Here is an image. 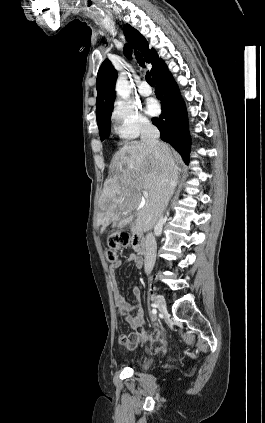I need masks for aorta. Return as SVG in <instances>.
I'll return each mask as SVG.
<instances>
[{
    "label": "aorta",
    "mask_w": 265,
    "mask_h": 423,
    "mask_svg": "<svg viewBox=\"0 0 265 423\" xmlns=\"http://www.w3.org/2000/svg\"><path fill=\"white\" fill-rule=\"evenodd\" d=\"M115 90L117 95L120 96L121 98L123 99L129 98L131 93V86L129 82L127 81L124 73L120 74V76L118 77Z\"/></svg>",
    "instance_id": "762f6f07"
}]
</instances>
